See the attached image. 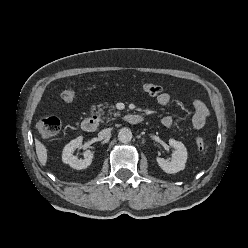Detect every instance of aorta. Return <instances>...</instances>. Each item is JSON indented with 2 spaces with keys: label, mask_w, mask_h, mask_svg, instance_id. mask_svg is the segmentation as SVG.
<instances>
[{
  "label": "aorta",
  "mask_w": 248,
  "mask_h": 248,
  "mask_svg": "<svg viewBox=\"0 0 248 248\" xmlns=\"http://www.w3.org/2000/svg\"><path fill=\"white\" fill-rule=\"evenodd\" d=\"M118 139L122 143H128L132 140V132L129 128H121L118 133Z\"/></svg>",
  "instance_id": "obj_1"
}]
</instances>
